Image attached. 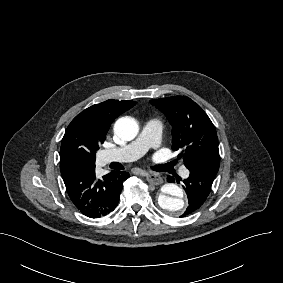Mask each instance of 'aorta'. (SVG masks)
Listing matches in <instances>:
<instances>
[{
  "label": "aorta",
  "instance_id": "1",
  "mask_svg": "<svg viewBox=\"0 0 283 283\" xmlns=\"http://www.w3.org/2000/svg\"><path fill=\"white\" fill-rule=\"evenodd\" d=\"M139 131L138 123L131 117H121L114 125V132L123 140L134 139ZM182 189L174 183H167L162 186L158 196V204L165 211L178 216L182 213L185 202L183 200Z\"/></svg>",
  "mask_w": 283,
  "mask_h": 283
}]
</instances>
